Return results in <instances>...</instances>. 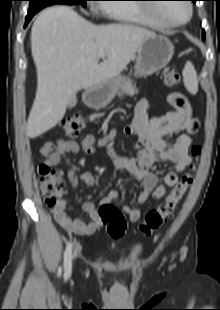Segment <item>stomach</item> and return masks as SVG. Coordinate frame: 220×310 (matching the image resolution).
<instances>
[{"label":"stomach","mask_w":220,"mask_h":310,"mask_svg":"<svg viewBox=\"0 0 220 310\" xmlns=\"http://www.w3.org/2000/svg\"><path fill=\"white\" fill-rule=\"evenodd\" d=\"M174 54L171 41L162 35L147 37L137 50L135 73L139 77H146L164 68ZM125 84V78L118 76L91 87L84 94L87 105L95 108L106 106L116 92Z\"/></svg>","instance_id":"0dacf381"}]
</instances>
